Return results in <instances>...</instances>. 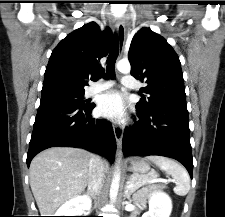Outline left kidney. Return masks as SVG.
Masks as SVG:
<instances>
[{
	"mask_svg": "<svg viewBox=\"0 0 225 217\" xmlns=\"http://www.w3.org/2000/svg\"><path fill=\"white\" fill-rule=\"evenodd\" d=\"M171 210L170 197L163 192H157L149 198V211L144 213L142 217H169Z\"/></svg>",
	"mask_w": 225,
	"mask_h": 217,
	"instance_id": "left-kidney-1",
	"label": "left kidney"
}]
</instances>
